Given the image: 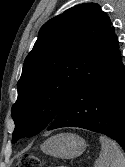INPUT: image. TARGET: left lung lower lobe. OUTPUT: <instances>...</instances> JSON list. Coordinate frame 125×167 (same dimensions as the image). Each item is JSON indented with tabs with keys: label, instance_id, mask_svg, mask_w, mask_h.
I'll list each match as a JSON object with an SVG mask.
<instances>
[{
	"label": "left lung lower lobe",
	"instance_id": "1",
	"mask_svg": "<svg viewBox=\"0 0 125 167\" xmlns=\"http://www.w3.org/2000/svg\"><path fill=\"white\" fill-rule=\"evenodd\" d=\"M79 127L112 138L125 150V67L110 27L89 73L47 127Z\"/></svg>",
	"mask_w": 125,
	"mask_h": 167
}]
</instances>
